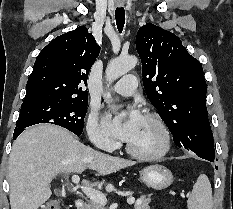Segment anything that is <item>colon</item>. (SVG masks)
Returning a JSON list of instances; mask_svg holds the SVG:
<instances>
[{"mask_svg":"<svg viewBox=\"0 0 233 209\" xmlns=\"http://www.w3.org/2000/svg\"><path fill=\"white\" fill-rule=\"evenodd\" d=\"M42 209H61V203L59 200H50L42 206Z\"/></svg>","mask_w":233,"mask_h":209,"instance_id":"1","label":"colon"}]
</instances>
